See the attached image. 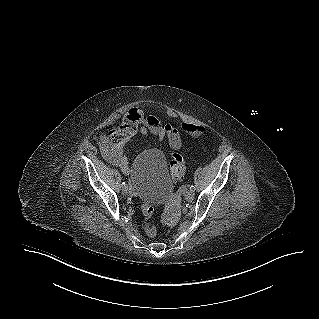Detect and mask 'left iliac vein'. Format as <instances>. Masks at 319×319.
<instances>
[{
    "instance_id": "1",
    "label": "left iliac vein",
    "mask_w": 319,
    "mask_h": 319,
    "mask_svg": "<svg viewBox=\"0 0 319 319\" xmlns=\"http://www.w3.org/2000/svg\"><path fill=\"white\" fill-rule=\"evenodd\" d=\"M184 196L186 200L191 201L194 199V191L189 190L185 193Z\"/></svg>"
}]
</instances>
